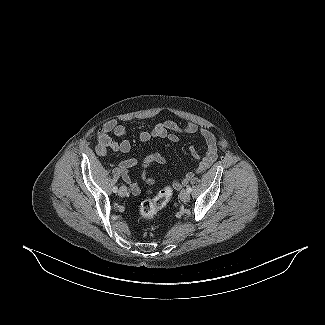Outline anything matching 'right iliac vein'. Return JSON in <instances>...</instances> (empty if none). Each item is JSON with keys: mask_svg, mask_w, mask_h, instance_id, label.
I'll return each mask as SVG.
<instances>
[{"mask_svg": "<svg viewBox=\"0 0 325 325\" xmlns=\"http://www.w3.org/2000/svg\"><path fill=\"white\" fill-rule=\"evenodd\" d=\"M119 196L124 197L127 194V188L125 186H121L118 191Z\"/></svg>", "mask_w": 325, "mask_h": 325, "instance_id": "1", "label": "right iliac vein"}]
</instances>
